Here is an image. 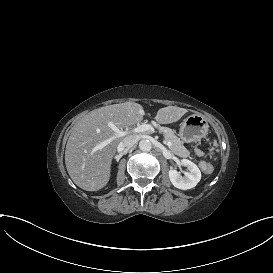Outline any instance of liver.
Returning a JSON list of instances; mask_svg holds the SVG:
<instances>
[{
    "label": "liver",
    "instance_id": "liver-1",
    "mask_svg": "<svg viewBox=\"0 0 273 273\" xmlns=\"http://www.w3.org/2000/svg\"><path fill=\"white\" fill-rule=\"evenodd\" d=\"M187 109L177 106L160 108L154 120L160 125L178 122ZM144 107L135 102H124L92 110L74 127L65 149V165L72 181L81 189L95 192L103 189L111 178L112 160L123 138L96 149L100 142L114 135V124L124 129L142 122Z\"/></svg>",
    "mask_w": 273,
    "mask_h": 273
}]
</instances>
